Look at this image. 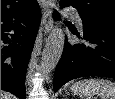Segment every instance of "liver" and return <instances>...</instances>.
<instances>
[{
    "instance_id": "6515ba94",
    "label": "liver",
    "mask_w": 115,
    "mask_h": 99,
    "mask_svg": "<svg viewBox=\"0 0 115 99\" xmlns=\"http://www.w3.org/2000/svg\"><path fill=\"white\" fill-rule=\"evenodd\" d=\"M1 99H13V96L7 92L1 91Z\"/></svg>"
}]
</instances>
